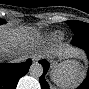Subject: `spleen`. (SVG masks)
<instances>
[{"instance_id":"3e777b00","label":"spleen","mask_w":89,"mask_h":89,"mask_svg":"<svg viewBox=\"0 0 89 89\" xmlns=\"http://www.w3.org/2000/svg\"><path fill=\"white\" fill-rule=\"evenodd\" d=\"M84 77V66L77 61H65L51 70V80L61 89L77 87Z\"/></svg>"}]
</instances>
